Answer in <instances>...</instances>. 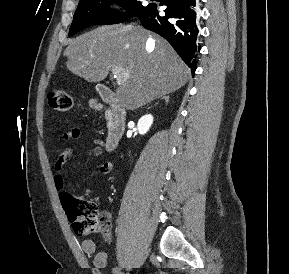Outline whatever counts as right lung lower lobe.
Instances as JSON below:
<instances>
[{
  "mask_svg": "<svg viewBox=\"0 0 289 274\" xmlns=\"http://www.w3.org/2000/svg\"><path fill=\"white\" fill-rule=\"evenodd\" d=\"M160 5L167 6L165 16H160L157 4L151 3L138 16L139 20L146 29L164 37L194 74L198 35L196 0H162Z\"/></svg>",
  "mask_w": 289,
  "mask_h": 274,
  "instance_id": "98d812e1",
  "label": "right lung lower lobe"
}]
</instances>
